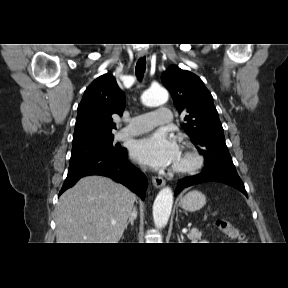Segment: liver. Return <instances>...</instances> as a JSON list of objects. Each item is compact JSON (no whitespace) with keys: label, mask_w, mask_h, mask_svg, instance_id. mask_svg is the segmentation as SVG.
<instances>
[{"label":"liver","mask_w":288,"mask_h":288,"mask_svg":"<svg viewBox=\"0 0 288 288\" xmlns=\"http://www.w3.org/2000/svg\"><path fill=\"white\" fill-rule=\"evenodd\" d=\"M135 201L133 192L109 178L80 179L57 203V243H118Z\"/></svg>","instance_id":"liver-1"}]
</instances>
